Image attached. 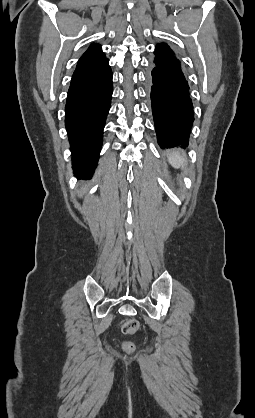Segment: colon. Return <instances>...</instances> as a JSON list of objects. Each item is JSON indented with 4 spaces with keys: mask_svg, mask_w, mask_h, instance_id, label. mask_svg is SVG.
<instances>
[{
    "mask_svg": "<svg viewBox=\"0 0 255 418\" xmlns=\"http://www.w3.org/2000/svg\"><path fill=\"white\" fill-rule=\"evenodd\" d=\"M139 329V322L135 319H128L121 323V330L125 335H134ZM122 348L125 352L131 354L136 350V345L130 340H124Z\"/></svg>",
    "mask_w": 255,
    "mask_h": 418,
    "instance_id": "obj_1",
    "label": "colon"
}]
</instances>
